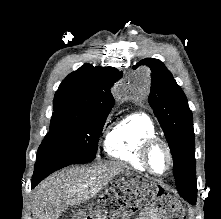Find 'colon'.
<instances>
[{
  "label": "colon",
  "instance_id": "5ec220e1",
  "mask_svg": "<svg viewBox=\"0 0 221 219\" xmlns=\"http://www.w3.org/2000/svg\"><path fill=\"white\" fill-rule=\"evenodd\" d=\"M129 186V183L117 185L114 191L109 192L100 198L97 206L102 208L106 214H110L112 210L116 207L118 199H126L127 193L130 190ZM149 194H152L151 190H141V201L137 206L136 211L140 209H146L150 205H152L154 201H157V199H149ZM158 208L166 216L167 219H184V217H182L169 207L168 201L166 199L158 200Z\"/></svg>",
  "mask_w": 221,
  "mask_h": 219
}]
</instances>
